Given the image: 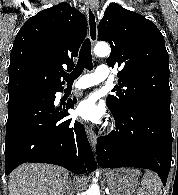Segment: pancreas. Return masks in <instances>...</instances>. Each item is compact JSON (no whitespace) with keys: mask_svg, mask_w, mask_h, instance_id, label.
I'll list each match as a JSON object with an SVG mask.
<instances>
[{"mask_svg":"<svg viewBox=\"0 0 178 195\" xmlns=\"http://www.w3.org/2000/svg\"><path fill=\"white\" fill-rule=\"evenodd\" d=\"M138 195H143L142 193H139Z\"/></svg>","mask_w":178,"mask_h":195,"instance_id":"1","label":"pancreas"}]
</instances>
